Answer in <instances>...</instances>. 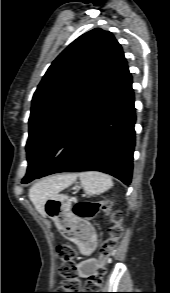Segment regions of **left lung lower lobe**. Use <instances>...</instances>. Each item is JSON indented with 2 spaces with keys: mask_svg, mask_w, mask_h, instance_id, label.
Masks as SVG:
<instances>
[{
  "mask_svg": "<svg viewBox=\"0 0 170 293\" xmlns=\"http://www.w3.org/2000/svg\"><path fill=\"white\" fill-rule=\"evenodd\" d=\"M135 120L132 77L126 67L62 153L38 175L22 183L59 172L100 171L129 185L133 170Z\"/></svg>",
  "mask_w": 170,
  "mask_h": 293,
  "instance_id": "0a47b994",
  "label": "left lung lower lobe"
}]
</instances>
